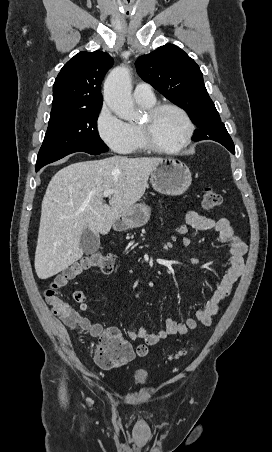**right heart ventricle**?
I'll list each match as a JSON object with an SVG mask.
<instances>
[{"mask_svg": "<svg viewBox=\"0 0 272 452\" xmlns=\"http://www.w3.org/2000/svg\"><path fill=\"white\" fill-rule=\"evenodd\" d=\"M137 102L144 109H148L154 105V102L153 103H146V102H139V101H137ZM128 126H129V129L131 132V138H130V143H129L128 149L126 150L125 153H135V152L145 149L146 147L142 141L138 124L137 123H129Z\"/></svg>", "mask_w": 272, "mask_h": 452, "instance_id": "1", "label": "right heart ventricle"}]
</instances>
